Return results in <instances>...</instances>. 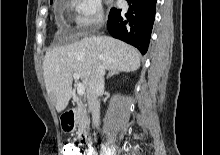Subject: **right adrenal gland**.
<instances>
[{
	"label": "right adrenal gland",
	"instance_id": "2a0ac1e0",
	"mask_svg": "<svg viewBox=\"0 0 220 155\" xmlns=\"http://www.w3.org/2000/svg\"><path fill=\"white\" fill-rule=\"evenodd\" d=\"M118 73H119L118 70H112V71H110L109 74L107 75V79H109L110 77H112L113 75L118 74Z\"/></svg>",
	"mask_w": 220,
	"mask_h": 155
}]
</instances>
